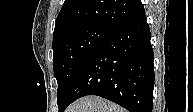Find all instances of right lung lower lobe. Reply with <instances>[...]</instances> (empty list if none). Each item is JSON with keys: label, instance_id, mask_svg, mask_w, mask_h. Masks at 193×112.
Here are the masks:
<instances>
[{"label": "right lung lower lobe", "instance_id": "1", "mask_svg": "<svg viewBox=\"0 0 193 112\" xmlns=\"http://www.w3.org/2000/svg\"><path fill=\"white\" fill-rule=\"evenodd\" d=\"M150 39L145 11L114 29L79 69L59 112L86 95L104 97L130 112H152L154 54Z\"/></svg>", "mask_w": 193, "mask_h": 112}]
</instances>
